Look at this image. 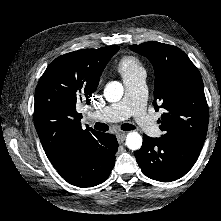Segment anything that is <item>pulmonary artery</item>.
<instances>
[{
    "mask_svg": "<svg viewBox=\"0 0 221 221\" xmlns=\"http://www.w3.org/2000/svg\"><path fill=\"white\" fill-rule=\"evenodd\" d=\"M124 84L126 91L121 101L100 110L90 112L87 114V118L103 122H116L131 117L132 122L139 129L150 136H158V125L143 108L146 100L145 73H141L131 80H125Z\"/></svg>",
    "mask_w": 221,
    "mask_h": 221,
    "instance_id": "1",
    "label": "pulmonary artery"
}]
</instances>
